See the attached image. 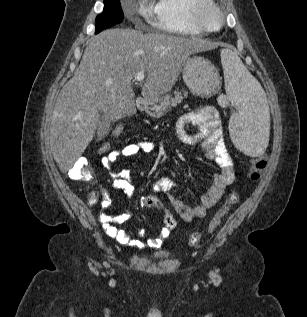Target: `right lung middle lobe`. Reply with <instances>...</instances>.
Returning <instances> with one entry per match:
<instances>
[{
  "label": "right lung middle lobe",
  "instance_id": "1",
  "mask_svg": "<svg viewBox=\"0 0 307 317\" xmlns=\"http://www.w3.org/2000/svg\"><path fill=\"white\" fill-rule=\"evenodd\" d=\"M123 20L120 0H104V10L96 17V32L110 28Z\"/></svg>",
  "mask_w": 307,
  "mask_h": 317
}]
</instances>
